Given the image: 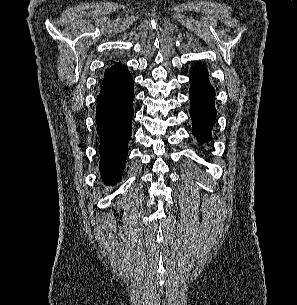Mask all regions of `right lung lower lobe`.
<instances>
[{
    "label": "right lung lower lobe",
    "instance_id": "right-lung-lower-lobe-1",
    "mask_svg": "<svg viewBox=\"0 0 297 305\" xmlns=\"http://www.w3.org/2000/svg\"><path fill=\"white\" fill-rule=\"evenodd\" d=\"M133 78L125 65L104 76L96 108L100 172L104 183L121 180L132 134Z\"/></svg>",
    "mask_w": 297,
    "mask_h": 305
}]
</instances>
